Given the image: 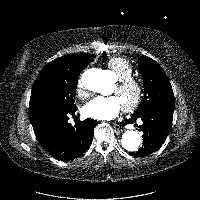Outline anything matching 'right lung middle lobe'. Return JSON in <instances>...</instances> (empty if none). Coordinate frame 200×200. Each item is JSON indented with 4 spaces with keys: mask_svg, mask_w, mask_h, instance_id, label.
<instances>
[{
    "mask_svg": "<svg viewBox=\"0 0 200 200\" xmlns=\"http://www.w3.org/2000/svg\"><path fill=\"white\" fill-rule=\"evenodd\" d=\"M93 55L85 61L82 68L59 77L37 78L31 92L29 113L53 109H73L77 82L80 72L93 60Z\"/></svg>",
    "mask_w": 200,
    "mask_h": 200,
    "instance_id": "1",
    "label": "right lung middle lobe"
}]
</instances>
